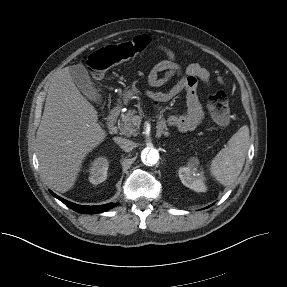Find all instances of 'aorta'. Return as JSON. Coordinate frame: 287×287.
Instances as JSON below:
<instances>
[{"mask_svg":"<svg viewBox=\"0 0 287 287\" xmlns=\"http://www.w3.org/2000/svg\"><path fill=\"white\" fill-rule=\"evenodd\" d=\"M140 155L141 161L149 166L155 165L159 160V152L155 148H144Z\"/></svg>","mask_w":287,"mask_h":287,"instance_id":"762f6f07","label":"aorta"}]
</instances>
